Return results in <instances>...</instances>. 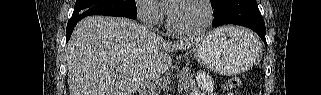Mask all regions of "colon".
I'll return each mask as SVG.
<instances>
[{"label":"colon","instance_id":"5ec220e1","mask_svg":"<svg viewBox=\"0 0 321 95\" xmlns=\"http://www.w3.org/2000/svg\"><path fill=\"white\" fill-rule=\"evenodd\" d=\"M241 85V79L238 76H233L228 79L225 88L226 89H235Z\"/></svg>","mask_w":321,"mask_h":95}]
</instances>
